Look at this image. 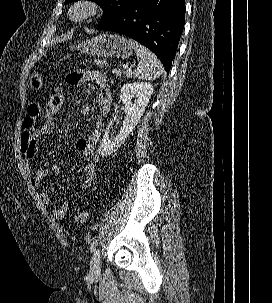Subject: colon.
<instances>
[{"label":"colon","mask_w":272,"mask_h":303,"mask_svg":"<svg viewBox=\"0 0 272 303\" xmlns=\"http://www.w3.org/2000/svg\"><path fill=\"white\" fill-rule=\"evenodd\" d=\"M96 66L101 70L109 71L114 77L119 78L122 76V70L111 64L108 60L104 58H96L94 60ZM64 103V94L63 90L60 87L55 88L49 96L46 112L41 128L47 131H54L58 120L61 109ZM87 219V213L84 211L78 212L74 220L76 223H83Z\"/></svg>","instance_id":"5ec220e1"}]
</instances>
